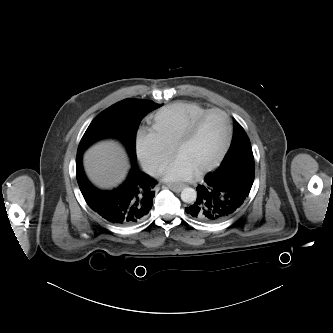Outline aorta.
Wrapping results in <instances>:
<instances>
[{
  "label": "aorta",
  "instance_id": "obj_1",
  "mask_svg": "<svg viewBox=\"0 0 333 333\" xmlns=\"http://www.w3.org/2000/svg\"><path fill=\"white\" fill-rule=\"evenodd\" d=\"M196 197L197 193L193 188L188 187L183 189V191L181 192V200L185 203L189 204L195 202Z\"/></svg>",
  "mask_w": 333,
  "mask_h": 333
}]
</instances>
